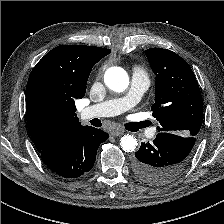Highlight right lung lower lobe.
Returning a JSON list of instances; mask_svg holds the SVG:
<instances>
[{"instance_id":"obj_1","label":"right lung lower lobe","mask_w":224,"mask_h":224,"mask_svg":"<svg viewBox=\"0 0 224 224\" xmlns=\"http://www.w3.org/2000/svg\"><path fill=\"white\" fill-rule=\"evenodd\" d=\"M108 138L101 129L82 126L68 130L39 153L56 174L77 178L92 169L99 145Z\"/></svg>"}]
</instances>
